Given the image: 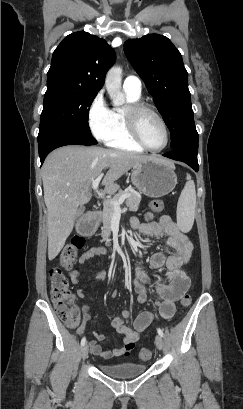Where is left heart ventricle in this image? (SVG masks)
<instances>
[{
	"label": "left heart ventricle",
	"mask_w": 243,
	"mask_h": 409,
	"mask_svg": "<svg viewBox=\"0 0 243 409\" xmlns=\"http://www.w3.org/2000/svg\"><path fill=\"white\" fill-rule=\"evenodd\" d=\"M139 130L145 143L153 148H159L165 143V133L162 125L150 113H142L138 119Z\"/></svg>",
	"instance_id": "left-heart-ventricle-1"
}]
</instances>
